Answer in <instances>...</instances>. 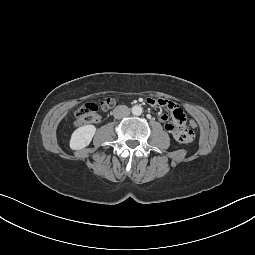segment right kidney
Listing matches in <instances>:
<instances>
[{"instance_id": "1", "label": "right kidney", "mask_w": 255, "mask_h": 255, "mask_svg": "<svg viewBox=\"0 0 255 255\" xmlns=\"http://www.w3.org/2000/svg\"><path fill=\"white\" fill-rule=\"evenodd\" d=\"M96 132L94 125H84L76 129L70 139V148L79 150L90 144Z\"/></svg>"}]
</instances>
